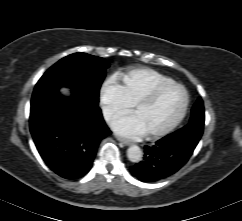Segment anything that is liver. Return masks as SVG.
I'll list each match as a JSON object with an SVG mask.
<instances>
[{
    "instance_id": "liver-1",
    "label": "liver",
    "mask_w": 242,
    "mask_h": 221,
    "mask_svg": "<svg viewBox=\"0 0 242 221\" xmlns=\"http://www.w3.org/2000/svg\"><path fill=\"white\" fill-rule=\"evenodd\" d=\"M61 92L63 93V94H69V89H66V88H62L61 89Z\"/></svg>"
}]
</instances>
